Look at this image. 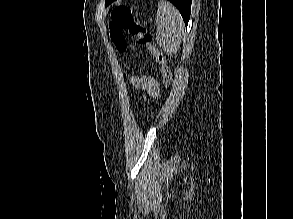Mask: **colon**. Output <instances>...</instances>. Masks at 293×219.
<instances>
[{
    "instance_id": "5ec220e1",
    "label": "colon",
    "mask_w": 293,
    "mask_h": 219,
    "mask_svg": "<svg viewBox=\"0 0 293 219\" xmlns=\"http://www.w3.org/2000/svg\"><path fill=\"white\" fill-rule=\"evenodd\" d=\"M109 27L111 40L120 52L128 48L125 32L135 37L138 43L147 49L158 63L163 74L164 86L168 88L171 83V70L165 56L153 44L152 35L145 23L127 5H118L111 12Z\"/></svg>"
}]
</instances>
